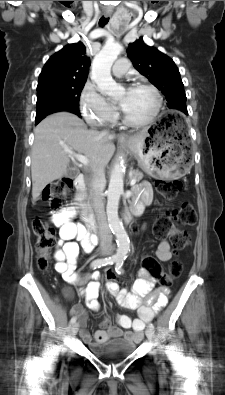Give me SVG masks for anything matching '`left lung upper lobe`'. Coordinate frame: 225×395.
<instances>
[{"mask_svg": "<svg viewBox=\"0 0 225 395\" xmlns=\"http://www.w3.org/2000/svg\"><path fill=\"white\" fill-rule=\"evenodd\" d=\"M127 53L135 69L165 95L168 108L187 115L184 85L174 61L158 49L147 46L142 38L130 43Z\"/></svg>", "mask_w": 225, "mask_h": 395, "instance_id": "1", "label": "left lung upper lobe"}]
</instances>
